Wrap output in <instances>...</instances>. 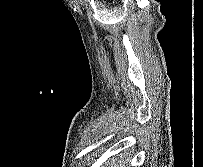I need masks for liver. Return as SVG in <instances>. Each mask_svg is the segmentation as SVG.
<instances>
[{"instance_id": "1", "label": "liver", "mask_w": 203, "mask_h": 167, "mask_svg": "<svg viewBox=\"0 0 203 167\" xmlns=\"http://www.w3.org/2000/svg\"><path fill=\"white\" fill-rule=\"evenodd\" d=\"M127 163L126 157L124 154L120 155V161H118L117 158H113L108 162H105V164L102 167H125V164Z\"/></svg>"}]
</instances>
